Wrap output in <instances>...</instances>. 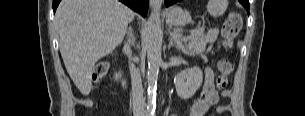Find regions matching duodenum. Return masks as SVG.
<instances>
[{
  "label": "duodenum",
  "mask_w": 305,
  "mask_h": 116,
  "mask_svg": "<svg viewBox=\"0 0 305 116\" xmlns=\"http://www.w3.org/2000/svg\"><path fill=\"white\" fill-rule=\"evenodd\" d=\"M121 81H122V84H123V85H126V84H127V80H126V78H125L123 72H122V74H121Z\"/></svg>",
  "instance_id": "duodenum-1"
}]
</instances>
